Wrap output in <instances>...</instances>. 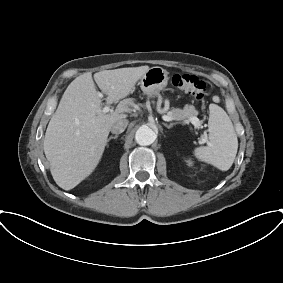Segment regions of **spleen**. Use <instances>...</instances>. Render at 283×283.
Returning <instances> with one entry per match:
<instances>
[{
  "mask_svg": "<svg viewBox=\"0 0 283 283\" xmlns=\"http://www.w3.org/2000/svg\"><path fill=\"white\" fill-rule=\"evenodd\" d=\"M209 110V144L195 148L194 156L221 171H227L232 166L237 154V135L229 116L220 106L210 104Z\"/></svg>",
  "mask_w": 283,
  "mask_h": 283,
  "instance_id": "3e777b00",
  "label": "spleen"
}]
</instances>
